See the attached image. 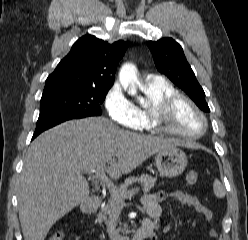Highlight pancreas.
Here are the masks:
<instances>
[{
  "label": "pancreas",
  "instance_id": "1",
  "mask_svg": "<svg viewBox=\"0 0 248 240\" xmlns=\"http://www.w3.org/2000/svg\"><path fill=\"white\" fill-rule=\"evenodd\" d=\"M133 181L134 177L127 178L125 182L121 184L120 187L116 190V192L111 194V197L102 207L97 216L96 220L98 222L107 223L108 217H111L116 212V210L121 207V204L124 203L125 199L124 194L128 192V187L133 183ZM156 181L157 178H153L152 176H149L147 174H142L139 178V182L142 185L143 192H149L154 187ZM117 231L124 232V230L121 228H119Z\"/></svg>",
  "mask_w": 248,
  "mask_h": 240
}]
</instances>
